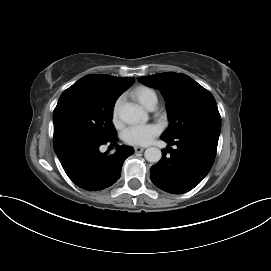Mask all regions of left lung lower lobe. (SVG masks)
<instances>
[{"label": "left lung lower lobe", "instance_id": "1", "mask_svg": "<svg viewBox=\"0 0 271 271\" xmlns=\"http://www.w3.org/2000/svg\"><path fill=\"white\" fill-rule=\"evenodd\" d=\"M168 145L162 159L151 167L150 178L155 186L173 194H182L197 186L210 171L217 150L219 134L199 132L175 139L161 138ZM170 152V156H166Z\"/></svg>", "mask_w": 271, "mask_h": 271}]
</instances>
